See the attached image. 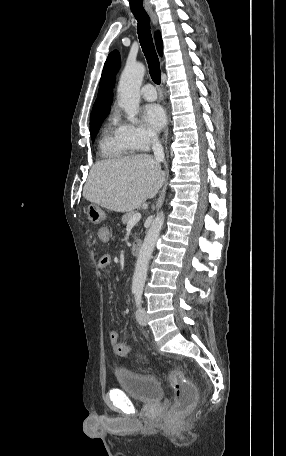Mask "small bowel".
<instances>
[{
  "instance_id": "obj_1",
  "label": "small bowel",
  "mask_w": 286,
  "mask_h": 456,
  "mask_svg": "<svg viewBox=\"0 0 286 456\" xmlns=\"http://www.w3.org/2000/svg\"><path fill=\"white\" fill-rule=\"evenodd\" d=\"M98 236L100 238L101 241L103 242H109L110 240V231H109V228L107 227H101L99 230H98ZM112 262V257L110 254H104L99 262H98V267L100 269H104V268H107L110 266ZM109 339H110V343L112 344L113 348H114V351L116 354L118 355H121V356H124V354L122 353L121 351V348L122 347H125L127 346L126 344L122 343L120 341V336H119V332L114 330V331H111L110 334H109Z\"/></svg>"
}]
</instances>
